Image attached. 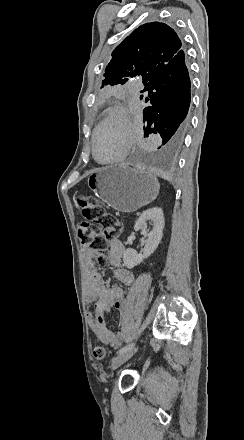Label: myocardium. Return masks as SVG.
Returning a JSON list of instances; mask_svg holds the SVG:
<instances>
[{"label": "myocardium", "mask_w": 244, "mask_h": 440, "mask_svg": "<svg viewBox=\"0 0 244 440\" xmlns=\"http://www.w3.org/2000/svg\"><path fill=\"white\" fill-rule=\"evenodd\" d=\"M119 111L121 114L124 115L125 119H126V123L127 126L125 127H119L118 128V134H119V148H118V155L115 158H110L107 160H99L97 155H96V150H95V141H96V137L98 135V133L100 132V130L103 129V127L106 125L105 123H111L113 120L112 118L114 117L113 115H115L117 112ZM106 118H104L95 130L93 132L92 135V141H91V151H92V157L94 158V160L100 164V165H119L122 161H124V159L126 158V147H125V135H126V131L128 130V128H130L132 126V112L130 110H128L126 107L124 106H117L115 108V110H109V114H106L105 116Z\"/></svg>", "instance_id": "myocardium-1"}]
</instances>
